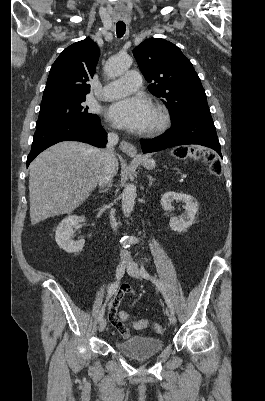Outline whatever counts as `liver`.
Masks as SVG:
<instances>
[{"mask_svg": "<svg viewBox=\"0 0 265 401\" xmlns=\"http://www.w3.org/2000/svg\"><path fill=\"white\" fill-rule=\"evenodd\" d=\"M102 148L84 142H58L32 160L29 168L31 225L54 215H70L99 182ZM119 162L115 158L114 174Z\"/></svg>", "mask_w": 265, "mask_h": 401, "instance_id": "6515ba94", "label": "liver"}]
</instances>
